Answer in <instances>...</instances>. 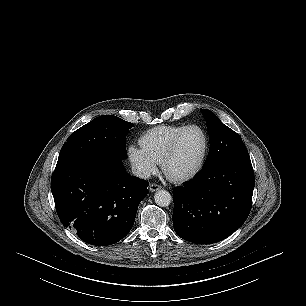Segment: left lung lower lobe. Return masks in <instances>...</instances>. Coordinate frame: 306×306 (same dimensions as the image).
<instances>
[{
  "label": "left lung lower lobe",
  "mask_w": 306,
  "mask_h": 306,
  "mask_svg": "<svg viewBox=\"0 0 306 306\" xmlns=\"http://www.w3.org/2000/svg\"><path fill=\"white\" fill-rule=\"evenodd\" d=\"M253 189L249 156L227 158L203 167L195 179L173 192L175 232L197 244L224 240L247 219Z\"/></svg>",
  "instance_id": "left-lung-lower-lobe-1"
}]
</instances>
